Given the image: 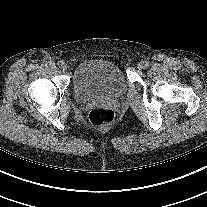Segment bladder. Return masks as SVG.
<instances>
[{
  "mask_svg": "<svg viewBox=\"0 0 207 207\" xmlns=\"http://www.w3.org/2000/svg\"><path fill=\"white\" fill-rule=\"evenodd\" d=\"M75 97L81 102L118 98L127 90L125 77L111 61L92 59L77 65L72 80Z\"/></svg>",
  "mask_w": 207,
  "mask_h": 207,
  "instance_id": "1",
  "label": "bladder"
}]
</instances>
